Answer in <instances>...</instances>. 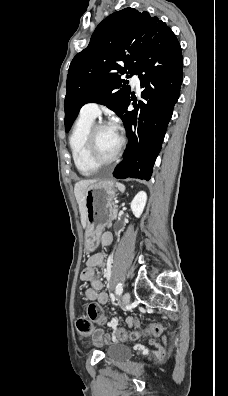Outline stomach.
<instances>
[{
    "label": "stomach",
    "mask_w": 228,
    "mask_h": 396,
    "mask_svg": "<svg viewBox=\"0 0 228 396\" xmlns=\"http://www.w3.org/2000/svg\"><path fill=\"white\" fill-rule=\"evenodd\" d=\"M116 186L113 181H96L85 190L86 230L84 246L87 253L99 245L100 237L107 222L113 215V200Z\"/></svg>",
    "instance_id": "stomach-1"
}]
</instances>
